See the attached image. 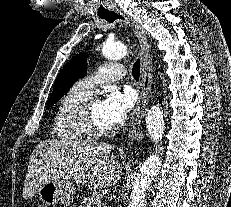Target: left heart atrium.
<instances>
[{
    "mask_svg": "<svg viewBox=\"0 0 231 207\" xmlns=\"http://www.w3.org/2000/svg\"><path fill=\"white\" fill-rule=\"evenodd\" d=\"M136 102V96L130 89L111 90L102 102V115L105 121L115 126L124 121Z\"/></svg>",
    "mask_w": 231,
    "mask_h": 207,
    "instance_id": "obj_1",
    "label": "left heart atrium"
}]
</instances>
